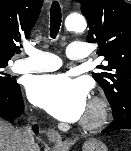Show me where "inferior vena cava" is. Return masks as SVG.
Masks as SVG:
<instances>
[{
	"label": "inferior vena cava",
	"instance_id": "602c4592",
	"mask_svg": "<svg viewBox=\"0 0 131 151\" xmlns=\"http://www.w3.org/2000/svg\"><path fill=\"white\" fill-rule=\"evenodd\" d=\"M17 135L21 151H38V146L34 143L33 131L30 125L17 130Z\"/></svg>",
	"mask_w": 131,
	"mask_h": 151
}]
</instances>
